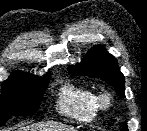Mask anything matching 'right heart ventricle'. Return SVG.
I'll return each mask as SVG.
<instances>
[{"instance_id":"obj_1","label":"right heart ventricle","mask_w":147,"mask_h":131,"mask_svg":"<svg viewBox=\"0 0 147 131\" xmlns=\"http://www.w3.org/2000/svg\"><path fill=\"white\" fill-rule=\"evenodd\" d=\"M56 107L61 115L79 122H91L99 112L97 94L87 86L74 83L60 88Z\"/></svg>"}]
</instances>
